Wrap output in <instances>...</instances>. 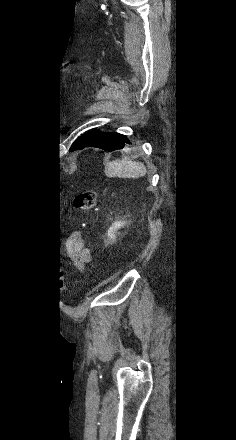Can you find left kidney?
<instances>
[{"label": "left kidney", "mask_w": 236, "mask_h": 440, "mask_svg": "<svg viewBox=\"0 0 236 440\" xmlns=\"http://www.w3.org/2000/svg\"><path fill=\"white\" fill-rule=\"evenodd\" d=\"M126 222L123 220H116L112 223L107 231L108 240L113 243L116 240V234L119 229L125 226Z\"/></svg>", "instance_id": "1"}]
</instances>
